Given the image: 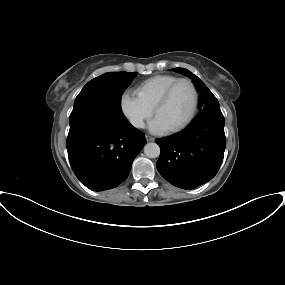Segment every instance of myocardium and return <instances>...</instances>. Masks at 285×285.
<instances>
[{
    "mask_svg": "<svg viewBox=\"0 0 285 285\" xmlns=\"http://www.w3.org/2000/svg\"><path fill=\"white\" fill-rule=\"evenodd\" d=\"M181 83H187L190 85V87L192 88L193 91V95H194V101H193V106L191 109V112L189 113L188 117L179 125H177L176 127L170 129L169 131L171 133H177L182 131L183 129H185L195 118L197 111H198V107H199V102H200V95H199V91L197 86L195 85V83L189 79V78H179L177 79L175 82H173L166 90L165 92L162 94V96L158 99V101L156 102L154 108H153V113L156 115L158 109H160L161 107H163L171 98L174 90L176 89V87L181 84Z\"/></svg>",
    "mask_w": 285,
    "mask_h": 285,
    "instance_id": "obj_1",
    "label": "myocardium"
}]
</instances>
